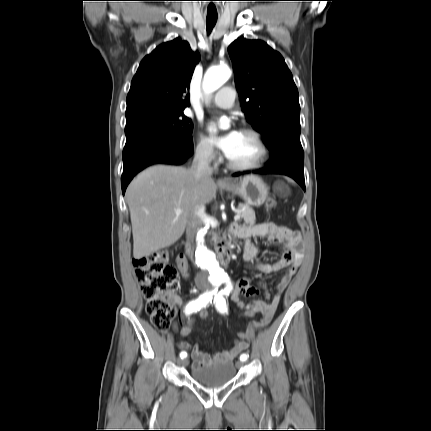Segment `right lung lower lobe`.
I'll list each match as a JSON object with an SVG mask.
<instances>
[{
  "instance_id": "1",
  "label": "right lung lower lobe",
  "mask_w": 431,
  "mask_h": 431,
  "mask_svg": "<svg viewBox=\"0 0 431 431\" xmlns=\"http://www.w3.org/2000/svg\"><path fill=\"white\" fill-rule=\"evenodd\" d=\"M192 154V140L161 131H148L127 138L123 149L122 193L132 178L146 167L157 163L181 165Z\"/></svg>"
}]
</instances>
